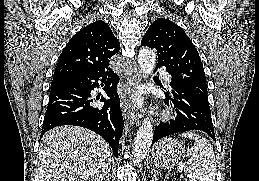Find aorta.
I'll return each mask as SVG.
<instances>
[{"mask_svg": "<svg viewBox=\"0 0 259 181\" xmlns=\"http://www.w3.org/2000/svg\"><path fill=\"white\" fill-rule=\"evenodd\" d=\"M138 62L141 71L145 75H150L156 66V55L154 51L148 48H142L139 51ZM153 124L151 119L142 122L135 138V148L133 152V163L139 165L147 155L153 140Z\"/></svg>", "mask_w": 259, "mask_h": 181, "instance_id": "1", "label": "aorta"}]
</instances>
